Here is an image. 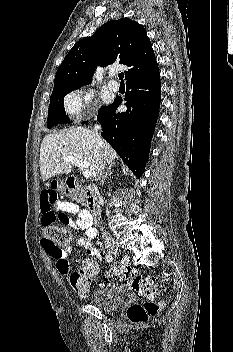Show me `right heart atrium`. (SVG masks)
<instances>
[{
	"label": "right heart atrium",
	"instance_id": "d8ad5b80",
	"mask_svg": "<svg viewBox=\"0 0 233 352\" xmlns=\"http://www.w3.org/2000/svg\"><path fill=\"white\" fill-rule=\"evenodd\" d=\"M91 101V93L84 92L83 90H74L65 98V110L71 116L80 117Z\"/></svg>",
	"mask_w": 233,
	"mask_h": 352
}]
</instances>
